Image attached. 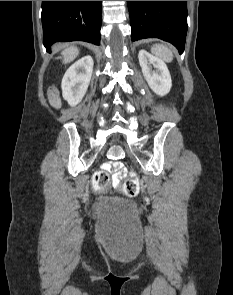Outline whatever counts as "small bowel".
<instances>
[{
    "label": "small bowel",
    "instance_id": "obj_1",
    "mask_svg": "<svg viewBox=\"0 0 233 295\" xmlns=\"http://www.w3.org/2000/svg\"><path fill=\"white\" fill-rule=\"evenodd\" d=\"M104 169L112 172L113 182L118 185L120 178L124 176V165L121 162L106 163Z\"/></svg>",
    "mask_w": 233,
    "mask_h": 295
}]
</instances>
